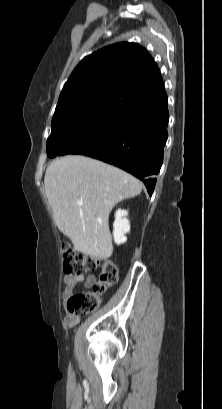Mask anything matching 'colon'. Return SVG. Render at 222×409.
I'll list each match as a JSON object with an SVG mask.
<instances>
[{
	"instance_id": "colon-1",
	"label": "colon",
	"mask_w": 222,
	"mask_h": 409,
	"mask_svg": "<svg viewBox=\"0 0 222 409\" xmlns=\"http://www.w3.org/2000/svg\"><path fill=\"white\" fill-rule=\"evenodd\" d=\"M63 270L69 274H84L101 268V274L93 288L72 295L67 301V311L71 315L83 316L96 310L102 297L118 282L119 274L116 264L109 259H100L78 254L73 248L62 245Z\"/></svg>"
}]
</instances>
